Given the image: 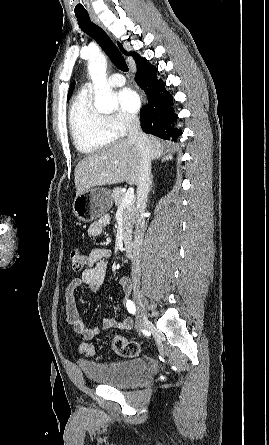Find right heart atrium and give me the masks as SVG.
I'll return each instance as SVG.
<instances>
[{
  "label": "right heart atrium",
  "mask_w": 269,
  "mask_h": 445,
  "mask_svg": "<svg viewBox=\"0 0 269 445\" xmlns=\"http://www.w3.org/2000/svg\"><path fill=\"white\" fill-rule=\"evenodd\" d=\"M107 122L116 137H122L135 127L137 120L132 115L117 112L108 115Z\"/></svg>",
  "instance_id": "obj_1"
}]
</instances>
